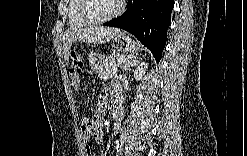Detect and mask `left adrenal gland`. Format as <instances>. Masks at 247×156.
Listing matches in <instances>:
<instances>
[{
  "label": "left adrenal gland",
  "mask_w": 247,
  "mask_h": 156,
  "mask_svg": "<svg viewBox=\"0 0 247 156\" xmlns=\"http://www.w3.org/2000/svg\"><path fill=\"white\" fill-rule=\"evenodd\" d=\"M140 63V59L134 55H132L127 62L123 65V72L130 70L132 66L138 65Z\"/></svg>",
  "instance_id": "1"
}]
</instances>
